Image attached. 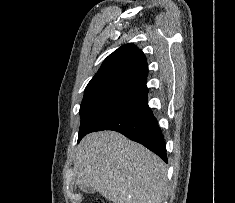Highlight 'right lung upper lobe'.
Here are the masks:
<instances>
[{
  "label": "right lung upper lobe",
  "mask_w": 235,
  "mask_h": 203,
  "mask_svg": "<svg viewBox=\"0 0 235 203\" xmlns=\"http://www.w3.org/2000/svg\"><path fill=\"white\" fill-rule=\"evenodd\" d=\"M147 72L144 53L133 44H125L104 60L86 89L116 83L146 87Z\"/></svg>",
  "instance_id": "obj_1"
}]
</instances>
